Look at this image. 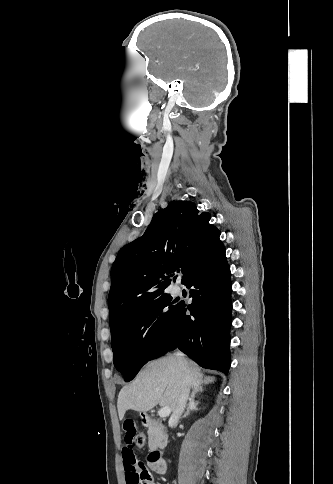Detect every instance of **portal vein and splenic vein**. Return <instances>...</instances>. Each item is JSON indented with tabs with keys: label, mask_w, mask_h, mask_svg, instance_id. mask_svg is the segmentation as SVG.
<instances>
[{
	"label": "portal vein and splenic vein",
	"mask_w": 333,
	"mask_h": 484,
	"mask_svg": "<svg viewBox=\"0 0 333 484\" xmlns=\"http://www.w3.org/2000/svg\"><path fill=\"white\" fill-rule=\"evenodd\" d=\"M171 413V408L170 407H163L162 409H160L159 411V416L161 418H164V417H167L169 416V414Z\"/></svg>",
	"instance_id": "obj_1"
}]
</instances>
